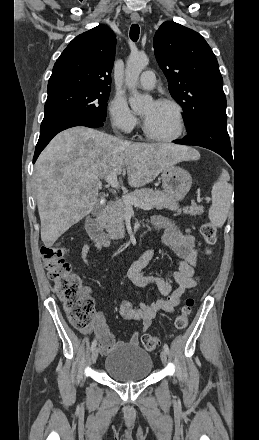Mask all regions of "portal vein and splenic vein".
<instances>
[{"label": "portal vein and splenic vein", "instance_id": "obj_1", "mask_svg": "<svg viewBox=\"0 0 259 440\" xmlns=\"http://www.w3.org/2000/svg\"><path fill=\"white\" fill-rule=\"evenodd\" d=\"M99 177L104 178L106 180V182L108 184H110L113 188L119 189L120 186H119V182L117 180V173H115V172L110 173L107 176H95V178H97V179ZM123 199H124V202L128 206L134 205V206H137V207L144 209V210H150L152 208V206L150 204L141 202V201H139L135 198H132L130 196H123Z\"/></svg>", "mask_w": 259, "mask_h": 440}]
</instances>
